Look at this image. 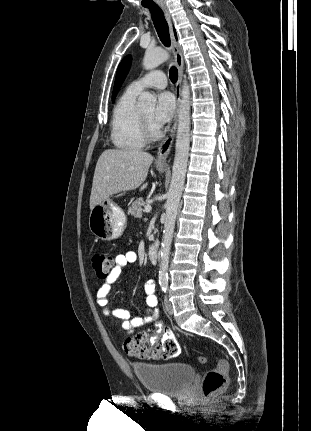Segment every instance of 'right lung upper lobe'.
<instances>
[{
    "label": "right lung upper lobe",
    "instance_id": "cb5924a9",
    "mask_svg": "<svg viewBox=\"0 0 311 431\" xmlns=\"http://www.w3.org/2000/svg\"><path fill=\"white\" fill-rule=\"evenodd\" d=\"M174 33H175V37H176V32H175V30H174Z\"/></svg>",
    "mask_w": 311,
    "mask_h": 431
}]
</instances>
